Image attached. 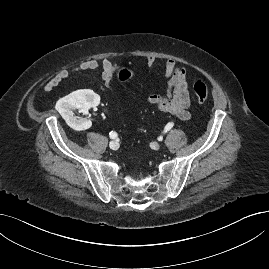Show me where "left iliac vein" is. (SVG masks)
I'll return each mask as SVG.
<instances>
[{"mask_svg": "<svg viewBox=\"0 0 269 269\" xmlns=\"http://www.w3.org/2000/svg\"><path fill=\"white\" fill-rule=\"evenodd\" d=\"M152 147H153L154 149L158 150V149L160 148V145L157 144V143H153V144H152Z\"/></svg>", "mask_w": 269, "mask_h": 269, "instance_id": "1", "label": "left iliac vein"}]
</instances>
